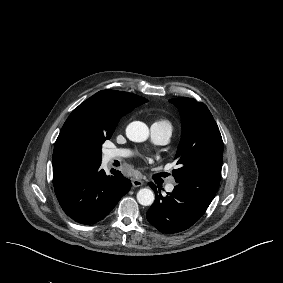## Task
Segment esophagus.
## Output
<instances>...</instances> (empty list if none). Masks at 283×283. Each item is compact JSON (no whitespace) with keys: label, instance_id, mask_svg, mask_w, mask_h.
Instances as JSON below:
<instances>
[{"label":"esophagus","instance_id":"esophagus-1","mask_svg":"<svg viewBox=\"0 0 283 283\" xmlns=\"http://www.w3.org/2000/svg\"><path fill=\"white\" fill-rule=\"evenodd\" d=\"M131 183L134 187H140L144 184L142 180H138V179H133Z\"/></svg>","mask_w":283,"mask_h":283}]
</instances>
